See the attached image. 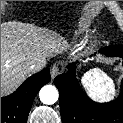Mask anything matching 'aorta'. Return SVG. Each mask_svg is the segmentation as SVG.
<instances>
[{
	"label": "aorta",
	"mask_w": 123,
	"mask_h": 123,
	"mask_svg": "<svg viewBox=\"0 0 123 123\" xmlns=\"http://www.w3.org/2000/svg\"><path fill=\"white\" fill-rule=\"evenodd\" d=\"M58 96V90L52 85H45L39 92L41 102L47 105L54 104L58 100Z\"/></svg>",
	"instance_id": "obj_1"
}]
</instances>
